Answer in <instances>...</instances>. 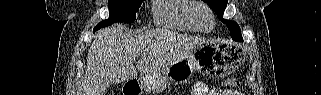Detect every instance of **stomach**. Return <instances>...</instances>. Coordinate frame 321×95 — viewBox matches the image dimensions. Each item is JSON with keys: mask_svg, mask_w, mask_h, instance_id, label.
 Listing matches in <instances>:
<instances>
[{"mask_svg": "<svg viewBox=\"0 0 321 95\" xmlns=\"http://www.w3.org/2000/svg\"><path fill=\"white\" fill-rule=\"evenodd\" d=\"M240 63V54L231 44L206 41L158 72L140 76L137 84L144 92L160 91L171 84L186 83L195 72L211 77H224L231 74Z\"/></svg>", "mask_w": 321, "mask_h": 95, "instance_id": "obj_1", "label": "stomach"}]
</instances>
